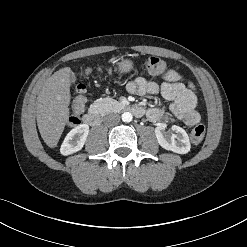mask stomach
<instances>
[{
  "mask_svg": "<svg viewBox=\"0 0 247 247\" xmlns=\"http://www.w3.org/2000/svg\"><path fill=\"white\" fill-rule=\"evenodd\" d=\"M118 71L121 74L129 73L133 69V62L128 59H123L117 63Z\"/></svg>",
  "mask_w": 247,
  "mask_h": 247,
  "instance_id": "1",
  "label": "stomach"
}]
</instances>
